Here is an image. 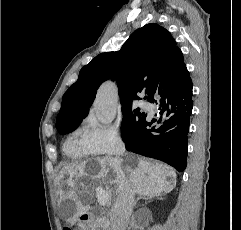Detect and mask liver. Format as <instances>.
I'll use <instances>...</instances> for the list:
<instances>
[{
    "label": "liver",
    "instance_id": "liver-1",
    "mask_svg": "<svg viewBox=\"0 0 241 230\" xmlns=\"http://www.w3.org/2000/svg\"><path fill=\"white\" fill-rule=\"evenodd\" d=\"M114 162H118L122 166L131 188L134 193L139 196L157 197L163 193L171 192L176 185V173L175 171L162 163L151 162L142 157L136 155H129L126 160L119 158H112ZM97 170L95 175H89L87 171L86 163L75 164L68 166L64 169L69 175L67 184L72 187L71 191L64 194L60 199L62 201L70 200L75 204V211L72 216V223L89 210V205H84L80 200V195L83 192L90 193L94 189H102V185L105 186V191L108 194L109 200L115 201L116 194V181L113 176L109 175V171L112 168V163L108 158H96ZM90 176L92 181L90 184L80 182L79 185L73 180L83 179ZM99 182L97 187L95 184ZM81 188V190H80Z\"/></svg>",
    "mask_w": 241,
    "mask_h": 230
}]
</instances>
